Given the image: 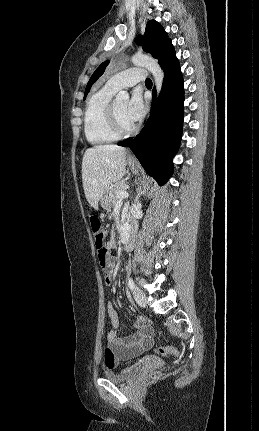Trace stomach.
Masks as SVG:
<instances>
[{"mask_svg": "<svg viewBox=\"0 0 259 431\" xmlns=\"http://www.w3.org/2000/svg\"><path fill=\"white\" fill-rule=\"evenodd\" d=\"M129 166L133 171H138V166L134 162L129 161ZM100 205L105 210H109L111 208L112 205L110 202L109 190L101 197Z\"/></svg>", "mask_w": 259, "mask_h": 431, "instance_id": "obj_1", "label": "stomach"}]
</instances>
